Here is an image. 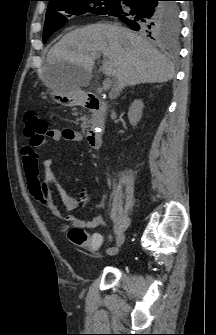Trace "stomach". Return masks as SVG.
<instances>
[{"mask_svg":"<svg viewBox=\"0 0 216 335\" xmlns=\"http://www.w3.org/2000/svg\"><path fill=\"white\" fill-rule=\"evenodd\" d=\"M75 66L65 65V68ZM44 81L52 89L51 99L58 104L66 107L79 105L82 101L83 94L79 89H75L71 83L66 81L64 75L59 71H51L44 76Z\"/></svg>","mask_w":216,"mask_h":335,"instance_id":"stomach-1","label":"stomach"}]
</instances>
